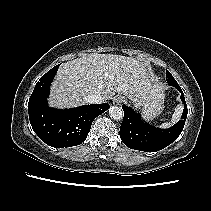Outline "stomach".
<instances>
[{
	"instance_id": "1",
	"label": "stomach",
	"mask_w": 211,
	"mask_h": 211,
	"mask_svg": "<svg viewBox=\"0 0 211 211\" xmlns=\"http://www.w3.org/2000/svg\"><path fill=\"white\" fill-rule=\"evenodd\" d=\"M163 99L164 97L146 101L142 106V117L147 121H151L160 115L164 109Z\"/></svg>"
}]
</instances>
